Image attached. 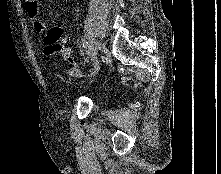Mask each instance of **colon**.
<instances>
[{
  "instance_id": "obj_1",
  "label": "colon",
  "mask_w": 221,
  "mask_h": 174,
  "mask_svg": "<svg viewBox=\"0 0 221 174\" xmlns=\"http://www.w3.org/2000/svg\"><path fill=\"white\" fill-rule=\"evenodd\" d=\"M48 39L54 43L53 50L56 54L61 55L69 63H75L71 56L70 49L66 44V40L63 38L62 32L59 29H51L48 32Z\"/></svg>"
}]
</instances>
